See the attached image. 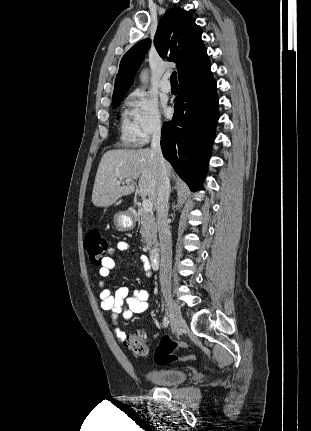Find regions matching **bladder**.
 Listing matches in <instances>:
<instances>
[{
	"mask_svg": "<svg viewBox=\"0 0 311 431\" xmlns=\"http://www.w3.org/2000/svg\"><path fill=\"white\" fill-rule=\"evenodd\" d=\"M187 377L188 374L184 369L176 367L152 369L145 373L148 381L161 386L181 384Z\"/></svg>",
	"mask_w": 311,
	"mask_h": 431,
	"instance_id": "bladder-1",
	"label": "bladder"
}]
</instances>
